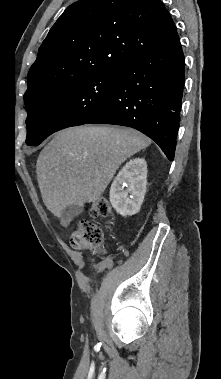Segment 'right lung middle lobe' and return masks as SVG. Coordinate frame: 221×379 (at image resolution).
Listing matches in <instances>:
<instances>
[{"instance_id":"obj_1","label":"right lung middle lobe","mask_w":221,"mask_h":379,"mask_svg":"<svg viewBox=\"0 0 221 379\" xmlns=\"http://www.w3.org/2000/svg\"><path fill=\"white\" fill-rule=\"evenodd\" d=\"M118 69L104 71L56 86L29 102L27 145H38L50 134L85 124L112 98Z\"/></svg>"}]
</instances>
